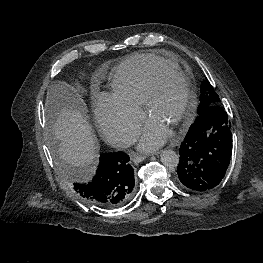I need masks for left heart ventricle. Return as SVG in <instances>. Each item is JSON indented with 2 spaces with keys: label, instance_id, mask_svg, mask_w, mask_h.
<instances>
[{
  "label": "left heart ventricle",
  "instance_id": "left-heart-ventricle-1",
  "mask_svg": "<svg viewBox=\"0 0 263 263\" xmlns=\"http://www.w3.org/2000/svg\"><path fill=\"white\" fill-rule=\"evenodd\" d=\"M185 99L184 83L173 76L164 77L157 88L150 120L160 124L166 131L172 130L183 110Z\"/></svg>",
  "mask_w": 263,
  "mask_h": 263
}]
</instances>
